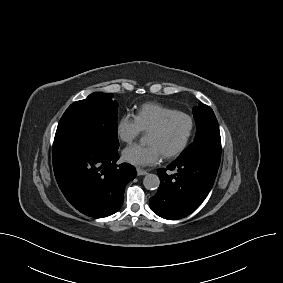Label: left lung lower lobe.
<instances>
[{
	"mask_svg": "<svg viewBox=\"0 0 283 283\" xmlns=\"http://www.w3.org/2000/svg\"><path fill=\"white\" fill-rule=\"evenodd\" d=\"M219 164L202 156L177 159L157 170L160 186L150 198L151 209L160 217L176 220L194 212L210 192ZM176 171L170 174L167 171Z\"/></svg>",
	"mask_w": 283,
	"mask_h": 283,
	"instance_id": "1",
	"label": "left lung lower lobe"
}]
</instances>
